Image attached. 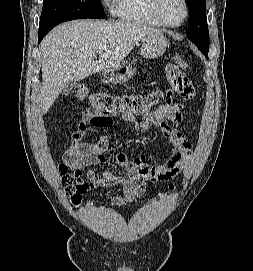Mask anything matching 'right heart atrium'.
I'll return each instance as SVG.
<instances>
[{
    "label": "right heart atrium",
    "instance_id": "d8ad5b80",
    "mask_svg": "<svg viewBox=\"0 0 253 271\" xmlns=\"http://www.w3.org/2000/svg\"><path fill=\"white\" fill-rule=\"evenodd\" d=\"M106 4H111L114 0H103Z\"/></svg>",
    "mask_w": 253,
    "mask_h": 271
}]
</instances>
